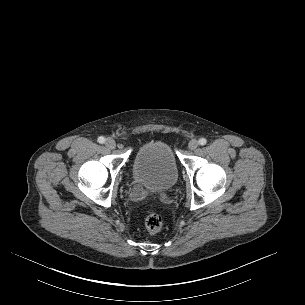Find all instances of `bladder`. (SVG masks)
Instances as JSON below:
<instances>
[{
  "instance_id": "31cf9c89",
  "label": "bladder",
  "mask_w": 305,
  "mask_h": 305,
  "mask_svg": "<svg viewBox=\"0 0 305 305\" xmlns=\"http://www.w3.org/2000/svg\"><path fill=\"white\" fill-rule=\"evenodd\" d=\"M133 180L150 192H162L173 188L179 173L173 151L160 139L144 142L132 159Z\"/></svg>"
}]
</instances>
